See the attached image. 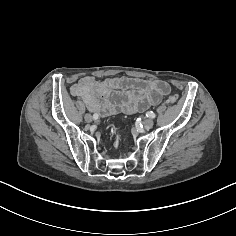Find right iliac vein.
I'll list each match as a JSON object with an SVG mask.
<instances>
[{"label":"right iliac vein","mask_w":236,"mask_h":236,"mask_svg":"<svg viewBox=\"0 0 236 236\" xmlns=\"http://www.w3.org/2000/svg\"><path fill=\"white\" fill-rule=\"evenodd\" d=\"M84 120H85L86 122L90 123V122H92L93 117H92L91 114L87 113V114H85V116H84Z\"/></svg>","instance_id":"obj_1"}]
</instances>
